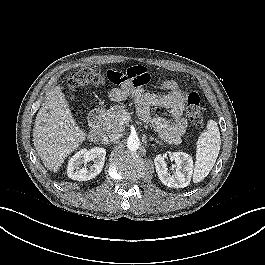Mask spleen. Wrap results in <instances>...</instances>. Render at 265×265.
I'll return each mask as SVG.
<instances>
[{"label": "spleen", "mask_w": 265, "mask_h": 265, "mask_svg": "<svg viewBox=\"0 0 265 265\" xmlns=\"http://www.w3.org/2000/svg\"><path fill=\"white\" fill-rule=\"evenodd\" d=\"M220 146L221 137L218 125L215 121L209 120L206 131L200 135L197 141L194 183L201 182L210 173L218 157Z\"/></svg>", "instance_id": "3e777b00"}]
</instances>
